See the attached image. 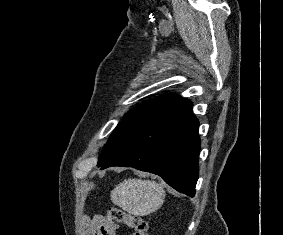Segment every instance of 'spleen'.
I'll use <instances>...</instances> for the list:
<instances>
[{"mask_svg": "<svg viewBox=\"0 0 283 235\" xmlns=\"http://www.w3.org/2000/svg\"><path fill=\"white\" fill-rule=\"evenodd\" d=\"M165 198L162 185L151 180L127 179L111 192L113 204L135 216H146L158 210Z\"/></svg>", "mask_w": 283, "mask_h": 235, "instance_id": "spleen-1", "label": "spleen"}]
</instances>
